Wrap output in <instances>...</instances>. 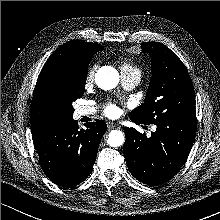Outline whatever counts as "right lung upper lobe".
<instances>
[{
    "mask_svg": "<svg viewBox=\"0 0 220 220\" xmlns=\"http://www.w3.org/2000/svg\"><path fill=\"white\" fill-rule=\"evenodd\" d=\"M103 46L82 40H71L58 48L44 64L34 90L31 105V130H35L52 120L62 118L55 96L56 76L67 63L84 58L93 57L95 52Z\"/></svg>",
    "mask_w": 220,
    "mask_h": 220,
    "instance_id": "obj_1",
    "label": "right lung upper lobe"
}]
</instances>
